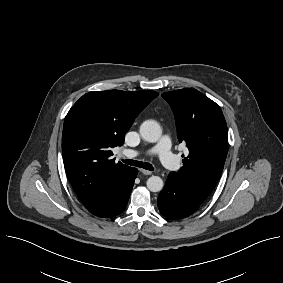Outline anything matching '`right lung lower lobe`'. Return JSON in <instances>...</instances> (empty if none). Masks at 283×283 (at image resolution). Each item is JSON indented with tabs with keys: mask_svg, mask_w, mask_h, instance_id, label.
I'll list each match as a JSON object with an SVG mask.
<instances>
[{
	"mask_svg": "<svg viewBox=\"0 0 283 283\" xmlns=\"http://www.w3.org/2000/svg\"><path fill=\"white\" fill-rule=\"evenodd\" d=\"M137 173L138 170L132 168L123 179L114 182L104 205L92 214L102 218L121 214L126 208Z\"/></svg>",
	"mask_w": 283,
	"mask_h": 283,
	"instance_id": "right-lung-lower-lobe-1",
	"label": "right lung lower lobe"
}]
</instances>
